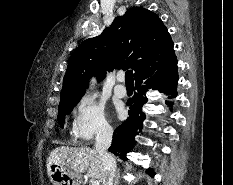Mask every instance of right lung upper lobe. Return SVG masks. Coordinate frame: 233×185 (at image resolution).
<instances>
[{
  "label": "right lung upper lobe",
  "mask_w": 233,
  "mask_h": 185,
  "mask_svg": "<svg viewBox=\"0 0 233 185\" xmlns=\"http://www.w3.org/2000/svg\"><path fill=\"white\" fill-rule=\"evenodd\" d=\"M173 41L153 12L133 7L115 18L110 28L83 41L72 54L63 80L60 103L80 100L89 78L105 77L107 70L127 66L134 77L176 58Z\"/></svg>",
  "instance_id": "cb5924a9"
}]
</instances>
